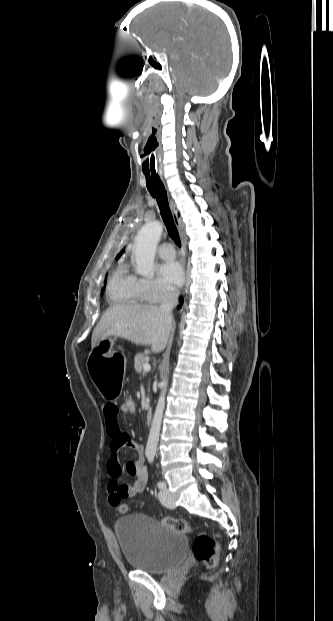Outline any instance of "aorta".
I'll return each mask as SVG.
<instances>
[{"label": "aorta", "mask_w": 333, "mask_h": 621, "mask_svg": "<svg viewBox=\"0 0 333 621\" xmlns=\"http://www.w3.org/2000/svg\"><path fill=\"white\" fill-rule=\"evenodd\" d=\"M163 232V226L159 221L146 223L138 232L134 242V254L136 258L138 274L144 277H150L153 272L154 258L157 243ZM161 393L153 416L148 442L146 445L145 455L154 457L159 441L163 412L165 408V395L168 386V380L161 382Z\"/></svg>", "instance_id": "obj_1"}]
</instances>
